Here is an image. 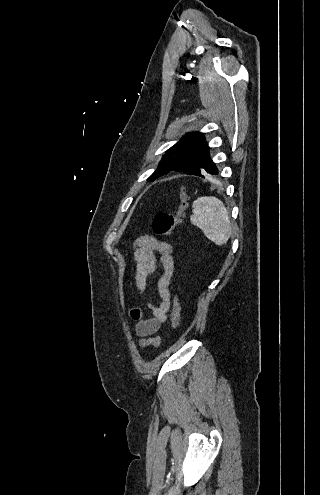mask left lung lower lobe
I'll list each match as a JSON object with an SVG mask.
<instances>
[{
  "label": "left lung lower lobe",
  "mask_w": 320,
  "mask_h": 495,
  "mask_svg": "<svg viewBox=\"0 0 320 495\" xmlns=\"http://www.w3.org/2000/svg\"><path fill=\"white\" fill-rule=\"evenodd\" d=\"M188 175H196L205 178L208 175L218 174V169L208 154L201 163L185 172Z\"/></svg>",
  "instance_id": "left-lung-lower-lobe-1"
}]
</instances>
